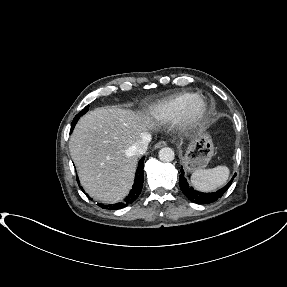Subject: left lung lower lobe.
<instances>
[{
	"label": "left lung lower lobe",
	"instance_id": "1",
	"mask_svg": "<svg viewBox=\"0 0 287 287\" xmlns=\"http://www.w3.org/2000/svg\"><path fill=\"white\" fill-rule=\"evenodd\" d=\"M181 175L179 176V186L185 196L192 202L197 204H209L215 202L217 199L222 197V195L226 192V190L231 185L232 180L222 189L213 192V193H202L199 191L194 190L192 187L189 186L187 183L184 172L181 169ZM235 176V175H234ZM234 178V177H233Z\"/></svg>",
	"mask_w": 287,
	"mask_h": 287
}]
</instances>
